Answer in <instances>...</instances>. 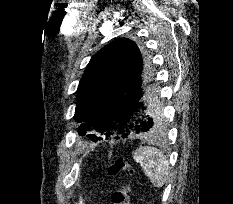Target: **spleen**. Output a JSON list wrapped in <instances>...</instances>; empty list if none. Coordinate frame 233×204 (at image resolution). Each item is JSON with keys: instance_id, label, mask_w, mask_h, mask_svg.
<instances>
[{"instance_id": "3e777b00", "label": "spleen", "mask_w": 233, "mask_h": 204, "mask_svg": "<svg viewBox=\"0 0 233 204\" xmlns=\"http://www.w3.org/2000/svg\"><path fill=\"white\" fill-rule=\"evenodd\" d=\"M133 158L140 164L144 174L155 187L161 188L168 181L169 161L159 149L141 146L133 151Z\"/></svg>"}]
</instances>
